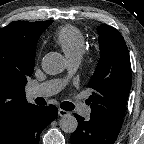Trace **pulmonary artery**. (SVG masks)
<instances>
[{"mask_svg": "<svg viewBox=\"0 0 144 144\" xmlns=\"http://www.w3.org/2000/svg\"><path fill=\"white\" fill-rule=\"evenodd\" d=\"M79 57L70 58L69 59V73H72L78 65ZM65 79H53L47 82L38 84L32 87L28 95L30 98H37V97H48L58 93L65 85ZM78 112L82 116L88 118L91 113V108L87 105L80 104L78 106Z\"/></svg>", "mask_w": 144, "mask_h": 144, "instance_id": "pulmonary-artery-1", "label": "pulmonary artery"}]
</instances>
